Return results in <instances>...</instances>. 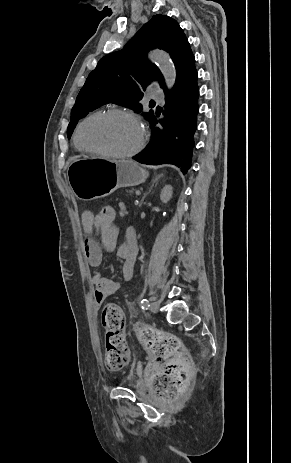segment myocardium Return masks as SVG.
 Masks as SVG:
<instances>
[{
	"instance_id": "1",
	"label": "myocardium",
	"mask_w": 291,
	"mask_h": 463,
	"mask_svg": "<svg viewBox=\"0 0 291 463\" xmlns=\"http://www.w3.org/2000/svg\"><path fill=\"white\" fill-rule=\"evenodd\" d=\"M110 115H121L129 118L132 120L138 127L139 132H140V137L137 145L125 152H112L109 150H104V149H98V148H92L87 145H85L82 140H81V130L83 126L90 121L93 118L100 117V116H110ZM75 143L78 148L81 150L91 153V154H97V155H103L106 157H111V158H129L133 157L136 154H138L144 147L146 140H147V132L144 124L142 121L139 119V117L132 111L124 108H112V109H107V110H102V111H97L94 112L87 117H85L77 126L76 131H75V136H74Z\"/></svg>"
}]
</instances>
